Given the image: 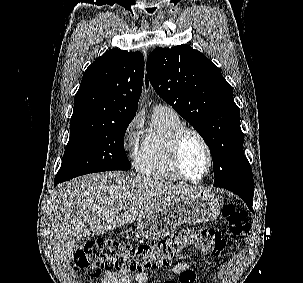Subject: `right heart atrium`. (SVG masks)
<instances>
[{
    "mask_svg": "<svg viewBox=\"0 0 303 283\" xmlns=\"http://www.w3.org/2000/svg\"><path fill=\"white\" fill-rule=\"evenodd\" d=\"M141 128V120L138 117H134L125 127L122 142L126 151L134 152L138 148Z\"/></svg>",
    "mask_w": 303,
    "mask_h": 283,
    "instance_id": "obj_1",
    "label": "right heart atrium"
}]
</instances>
